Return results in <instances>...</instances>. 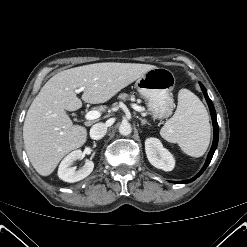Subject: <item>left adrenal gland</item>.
<instances>
[{"mask_svg":"<svg viewBox=\"0 0 247 247\" xmlns=\"http://www.w3.org/2000/svg\"><path fill=\"white\" fill-rule=\"evenodd\" d=\"M139 120L141 121L142 125H150L145 119L139 118Z\"/></svg>","mask_w":247,"mask_h":247,"instance_id":"left-adrenal-gland-1","label":"left adrenal gland"}]
</instances>
